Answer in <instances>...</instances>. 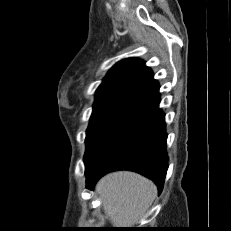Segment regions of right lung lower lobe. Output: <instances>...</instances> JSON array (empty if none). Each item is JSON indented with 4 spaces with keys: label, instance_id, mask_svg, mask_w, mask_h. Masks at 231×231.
<instances>
[{
    "label": "right lung lower lobe",
    "instance_id": "obj_1",
    "mask_svg": "<svg viewBox=\"0 0 231 231\" xmlns=\"http://www.w3.org/2000/svg\"><path fill=\"white\" fill-rule=\"evenodd\" d=\"M164 116L156 103L116 132L86 163V187L111 171L130 170L151 179L160 194L168 169Z\"/></svg>",
    "mask_w": 231,
    "mask_h": 231
}]
</instances>
